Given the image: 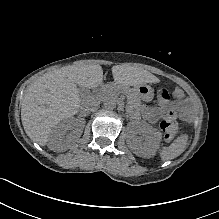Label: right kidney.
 Instances as JSON below:
<instances>
[{
  "label": "right kidney",
  "mask_w": 219,
  "mask_h": 219,
  "mask_svg": "<svg viewBox=\"0 0 219 219\" xmlns=\"http://www.w3.org/2000/svg\"><path fill=\"white\" fill-rule=\"evenodd\" d=\"M70 125L71 122L69 121L52 132L48 142V147L50 150L54 152H65L68 150V145L65 143L64 139ZM75 127L76 125L73 126V128ZM73 132L75 133L76 131L73 130ZM76 137H80V134L76 135Z\"/></svg>",
  "instance_id": "ca27d5eb"
}]
</instances>
